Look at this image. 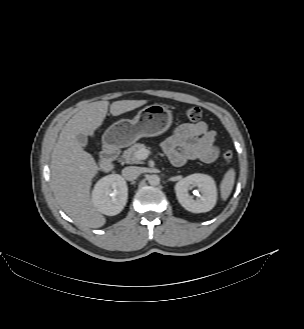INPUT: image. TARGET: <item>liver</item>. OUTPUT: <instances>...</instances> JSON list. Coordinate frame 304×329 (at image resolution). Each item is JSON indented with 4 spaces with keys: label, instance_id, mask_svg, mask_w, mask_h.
<instances>
[{
    "label": "liver",
    "instance_id": "1",
    "mask_svg": "<svg viewBox=\"0 0 304 329\" xmlns=\"http://www.w3.org/2000/svg\"><path fill=\"white\" fill-rule=\"evenodd\" d=\"M146 103L147 100L115 101L110 105V113L118 116ZM108 105V101H97L78 111L62 129L51 156V185L56 200L75 222L90 228L102 227L106 222L90 197L92 179L99 170L108 172L113 165L106 162L98 166L76 136H93L106 117Z\"/></svg>",
    "mask_w": 304,
    "mask_h": 329
}]
</instances>
